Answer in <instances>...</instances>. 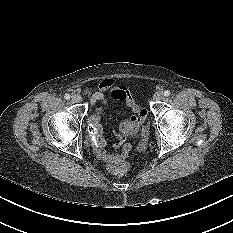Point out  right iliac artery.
I'll return each instance as SVG.
<instances>
[{"label":"right iliac artery","instance_id":"right-iliac-artery-1","mask_svg":"<svg viewBox=\"0 0 233 233\" xmlns=\"http://www.w3.org/2000/svg\"><path fill=\"white\" fill-rule=\"evenodd\" d=\"M64 98H65L66 100H69V99H70V95H69V94H65V95H64Z\"/></svg>","mask_w":233,"mask_h":233}]
</instances>
